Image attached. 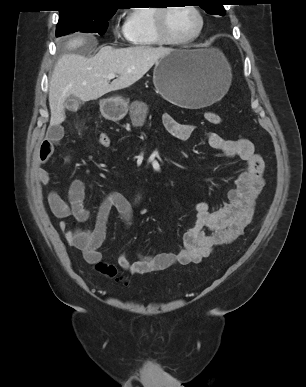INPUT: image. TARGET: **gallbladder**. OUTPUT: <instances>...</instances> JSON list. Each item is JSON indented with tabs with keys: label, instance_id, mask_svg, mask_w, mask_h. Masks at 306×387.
<instances>
[{
	"label": "gallbladder",
	"instance_id": "1",
	"mask_svg": "<svg viewBox=\"0 0 306 387\" xmlns=\"http://www.w3.org/2000/svg\"><path fill=\"white\" fill-rule=\"evenodd\" d=\"M79 102V98L70 96L65 100L64 106L71 111H75L78 107Z\"/></svg>",
	"mask_w": 306,
	"mask_h": 387
}]
</instances>
